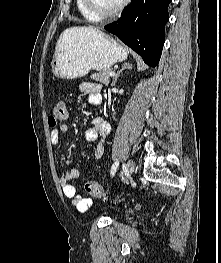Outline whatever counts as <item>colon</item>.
Segmentation results:
<instances>
[{
	"mask_svg": "<svg viewBox=\"0 0 221 263\" xmlns=\"http://www.w3.org/2000/svg\"><path fill=\"white\" fill-rule=\"evenodd\" d=\"M66 104L63 101H58L52 107L49 116L48 122L51 127L57 125L58 122L62 121L66 117ZM86 190L94 197L102 200H106L109 198L110 193L103 187L99 186L94 181H89L86 184Z\"/></svg>",
	"mask_w": 221,
	"mask_h": 263,
	"instance_id": "1",
	"label": "colon"
}]
</instances>
